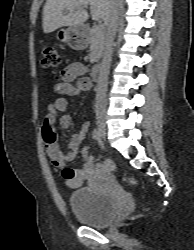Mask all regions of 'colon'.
Here are the masks:
<instances>
[{"mask_svg": "<svg viewBox=\"0 0 194 250\" xmlns=\"http://www.w3.org/2000/svg\"><path fill=\"white\" fill-rule=\"evenodd\" d=\"M60 65H61V57L58 53V50L53 46L45 47L43 49L42 58H41L42 68L56 70L60 67ZM57 80L59 84L62 82L61 75L57 76ZM83 155H84L85 162L88 163L91 161L87 148L83 150ZM126 181L131 185H135L137 183L136 179L131 176L126 177Z\"/></svg>", "mask_w": 194, "mask_h": 250, "instance_id": "1", "label": "colon"}]
</instances>
